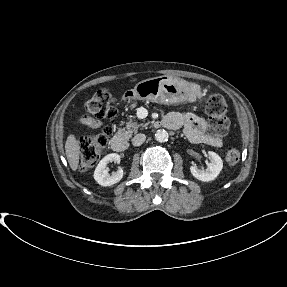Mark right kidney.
Listing matches in <instances>:
<instances>
[{
  "label": "right kidney",
  "instance_id": "obj_1",
  "mask_svg": "<svg viewBox=\"0 0 287 287\" xmlns=\"http://www.w3.org/2000/svg\"><path fill=\"white\" fill-rule=\"evenodd\" d=\"M109 162L120 163V156L117 153H111L105 156L97 165L94 172V179L101 186H111L123 178V170L119 168L116 172L109 174L107 164Z\"/></svg>",
  "mask_w": 287,
  "mask_h": 287
}]
</instances>
